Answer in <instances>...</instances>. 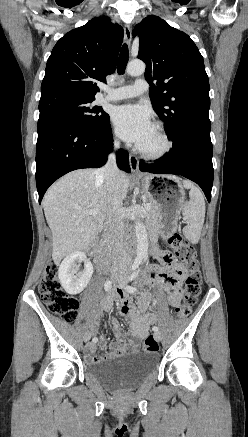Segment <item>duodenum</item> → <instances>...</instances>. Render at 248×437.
Returning a JSON list of instances; mask_svg holds the SVG:
<instances>
[{
  "instance_id": "1",
  "label": "duodenum",
  "mask_w": 248,
  "mask_h": 437,
  "mask_svg": "<svg viewBox=\"0 0 248 437\" xmlns=\"http://www.w3.org/2000/svg\"><path fill=\"white\" fill-rule=\"evenodd\" d=\"M105 240V232L100 233L97 235L95 242L92 246V254L95 257L97 263L105 268L109 264V258L108 256L103 252V243ZM128 251H131V248L128 247ZM152 254L156 256L158 254V249L153 247L152 248Z\"/></svg>"
}]
</instances>
